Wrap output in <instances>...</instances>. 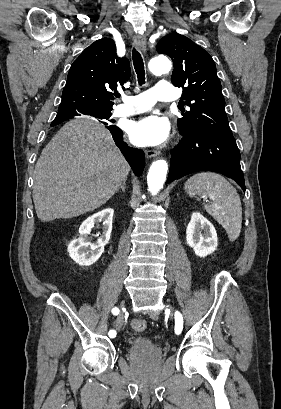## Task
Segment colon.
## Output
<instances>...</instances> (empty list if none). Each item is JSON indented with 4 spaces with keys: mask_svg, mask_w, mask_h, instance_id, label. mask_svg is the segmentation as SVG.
<instances>
[{
    "mask_svg": "<svg viewBox=\"0 0 281 409\" xmlns=\"http://www.w3.org/2000/svg\"><path fill=\"white\" fill-rule=\"evenodd\" d=\"M133 327H134V330H135L137 333H144V332H146V331L148 330L149 325H148V323H147L146 321H144V320L136 319V320H134V322H133Z\"/></svg>",
    "mask_w": 281,
    "mask_h": 409,
    "instance_id": "1",
    "label": "colon"
}]
</instances>
